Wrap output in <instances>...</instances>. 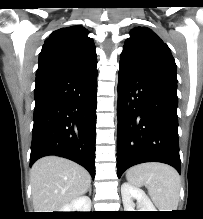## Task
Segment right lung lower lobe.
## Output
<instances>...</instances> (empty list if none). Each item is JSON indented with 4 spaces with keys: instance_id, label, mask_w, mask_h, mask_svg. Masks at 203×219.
I'll use <instances>...</instances> for the list:
<instances>
[{
    "instance_id": "obj_1",
    "label": "right lung lower lobe",
    "mask_w": 203,
    "mask_h": 219,
    "mask_svg": "<svg viewBox=\"0 0 203 219\" xmlns=\"http://www.w3.org/2000/svg\"><path fill=\"white\" fill-rule=\"evenodd\" d=\"M97 63L36 75L30 166L57 155L73 160L95 177Z\"/></svg>"
}]
</instances>
